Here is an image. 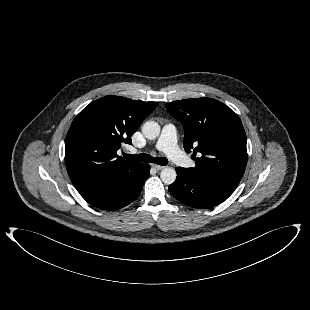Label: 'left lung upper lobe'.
<instances>
[{"instance_id": "5c2ea615", "label": "left lung upper lobe", "mask_w": 310, "mask_h": 310, "mask_svg": "<svg viewBox=\"0 0 310 310\" xmlns=\"http://www.w3.org/2000/svg\"><path fill=\"white\" fill-rule=\"evenodd\" d=\"M166 110L184 127V149L201 154L195 157L196 166L187 169L237 187L247 164L246 134L239 116L206 97L167 103Z\"/></svg>"}]
</instances>
